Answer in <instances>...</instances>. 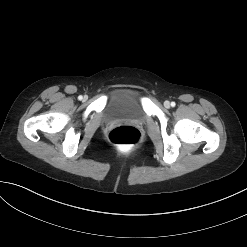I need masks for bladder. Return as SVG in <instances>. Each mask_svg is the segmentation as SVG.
<instances>
[{
	"mask_svg": "<svg viewBox=\"0 0 247 247\" xmlns=\"http://www.w3.org/2000/svg\"><path fill=\"white\" fill-rule=\"evenodd\" d=\"M102 116L105 122L120 119L143 121L146 111L142 92L130 87L113 89L106 98Z\"/></svg>",
	"mask_w": 247,
	"mask_h": 247,
	"instance_id": "1",
	"label": "bladder"
}]
</instances>
